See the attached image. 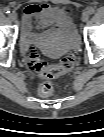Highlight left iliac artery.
Masks as SVG:
<instances>
[{
  "label": "left iliac artery",
  "instance_id": "1",
  "mask_svg": "<svg viewBox=\"0 0 104 137\" xmlns=\"http://www.w3.org/2000/svg\"><path fill=\"white\" fill-rule=\"evenodd\" d=\"M94 12H95V9H94L93 7H90V8L88 9V13H89V14H94Z\"/></svg>",
  "mask_w": 104,
  "mask_h": 137
}]
</instances>
